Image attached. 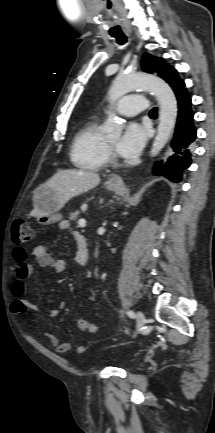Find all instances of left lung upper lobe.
Here are the masks:
<instances>
[{"instance_id": "5c2ea615", "label": "left lung upper lobe", "mask_w": 215, "mask_h": 433, "mask_svg": "<svg viewBox=\"0 0 215 433\" xmlns=\"http://www.w3.org/2000/svg\"><path fill=\"white\" fill-rule=\"evenodd\" d=\"M142 68L148 73H158V75L167 83H170L174 78L178 77L177 71L174 67L166 64L163 59L153 57L148 53H145L143 56Z\"/></svg>"}]
</instances>
